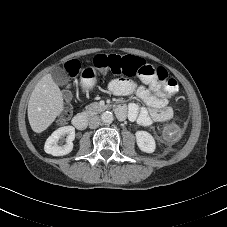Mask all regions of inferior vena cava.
Returning a JSON list of instances; mask_svg holds the SVG:
<instances>
[{"label": "inferior vena cava", "instance_id": "602c4592", "mask_svg": "<svg viewBox=\"0 0 227 227\" xmlns=\"http://www.w3.org/2000/svg\"><path fill=\"white\" fill-rule=\"evenodd\" d=\"M89 128L95 129L100 125V118L97 115L91 116L88 119Z\"/></svg>", "mask_w": 227, "mask_h": 227}]
</instances>
